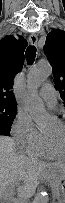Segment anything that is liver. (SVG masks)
<instances>
[{"instance_id": "obj_1", "label": "liver", "mask_w": 65, "mask_h": 203, "mask_svg": "<svg viewBox=\"0 0 65 203\" xmlns=\"http://www.w3.org/2000/svg\"><path fill=\"white\" fill-rule=\"evenodd\" d=\"M14 146L10 137H0V196L1 200L12 197L17 188L18 200H13V203H20L34 194L40 176L48 177L49 169H63V165L17 154Z\"/></svg>"}]
</instances>
